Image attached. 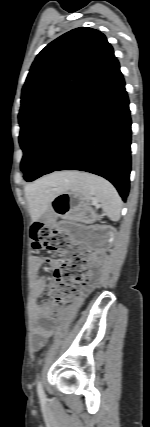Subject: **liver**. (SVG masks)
I'll list each match as a JSON object with an SVG mask.
<instances>
[{"label":"liver","instance_id":"obj_1","mask_svg":"<svg viewBox=\"0 0 150 427\" xmlns=\"http://www.w3.org/2000/svg\"><path fill=\"white\" fill-rule=\"evenodd\" d=\"M74 176V172L53 173L25 187V195L33 220H37L49 208L57 192L69 189Z\"/></svg>","mask_w":150,"mask_h":427}]
</instances>
